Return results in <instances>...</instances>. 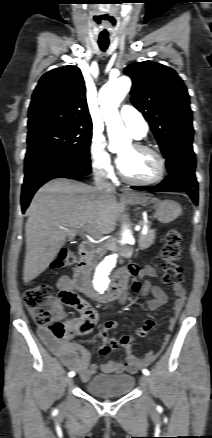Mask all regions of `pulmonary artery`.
<instances>
[{
  "label": "pulmonary artery",
  "instance_id": "e3ab8cb5",
  "mask_svg": "<svg viewBox=\"0 0 212 438\" xmlns=\"http://www.w3.org/2000/svg\"><path fill=\"white\" fill-rule=\"evenodd\" d=\"M120 117L132 136L142 139L148 132V125L139 110L130 105H124L120 111Z\"/></svg>",
  "mask_w": 212,
  "mask_h": 438
}]
</instances>
